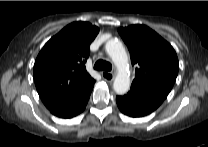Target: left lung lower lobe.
I'll return each instance as SVG.
<instances>
[{"label": "left lung lower lobe", "instance_id": "1", "mask_svg": "<svg viewBox=\"0 0 208 147\" xmlns=\"http://www.w3.org/2000/svg\"><path fill=\"white\" fill-rule=\"evenodd\" d=\"M165 98L148 90L132 87L124 96H117L119 109L130 117H142L150 114L163 102Z\"/></svg>", "mask_w": 208, "mask_h": 147}]
</instances>
